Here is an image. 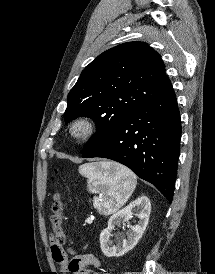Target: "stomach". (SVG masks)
Masks as SVG:
<instances>
[{
    "instance_id": "stomach-1",
    "label": "stomach",
    "mask_w": 215,
    "mask_h": 274,
    "mask_svg": "<svg viewBox=\"0 0 215 274\" xmlns=\"http://www.w3.org/2000/svg\"><path fill=\"white\" fill-rule=\"evenodd\" d=\"M109 163H111V165H112L113 167L116 166V165H118V164L113 163V162H109Z\"/></svg>"
}]
</instances>
